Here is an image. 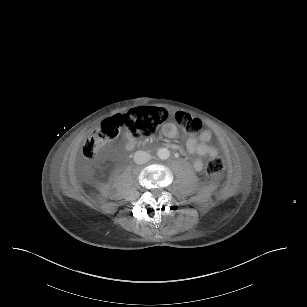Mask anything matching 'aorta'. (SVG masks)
<instances>
[{"label":"aorta","instance_id":"aorta-1","mask_svg":"<svg viewBox=\"0 0 307 307\" xmlns=\"http://www.w3.org/2000/svg\"><path fill=\"white\" fill-rule=\"evenodd\" d=\"M157 155L160 159L162 160H167L170 158L171 156V152L168 148H160L158 151H157Z\"/></svg>","mask_w":307,"mask_h":307}]
</instances>
